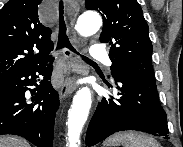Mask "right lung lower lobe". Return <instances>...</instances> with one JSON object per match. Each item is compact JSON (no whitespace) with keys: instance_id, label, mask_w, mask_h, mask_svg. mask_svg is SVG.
<instances>
[{"instance_id":"obj_1","label":"right lung lower lobe","mask_w":183,"mask_h":147,"mask_svg":"<svg viewBox=\"0 0 183 147\" xmlns=\"http://www.w3.org/2000/svg\"><path fill=\"white\" fill-rule=\"evenodd\" d=\"M52 60L0 78V135H18L37 147H53L59 97L49 81ZM36 72L44 76L40 85ZM27 86H36L30 90L31 101L25 97Z\"/></svg>"}]
</instances>
